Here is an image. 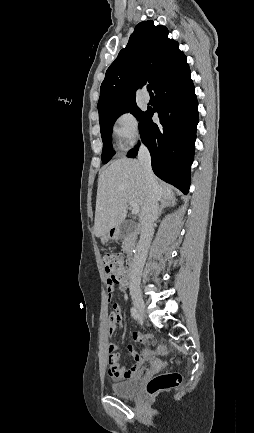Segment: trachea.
<instances>
[{
    "label": "trachea",
    "instance_id": "trachea-1",
    "mask_svg": "<svg viewBox=\"0 0 254 433\" xmlns=\"http://www.w3.org/2000/svg\"><path fill=\"white\" fill-rule=\"evenodd\" d=\"M147 90H148V92H149L150 94H153V93H152V86H151V85H147Z\"/></svg>",
    "mask_w": 254,
    "mask_h": 433
}]
</instances>
